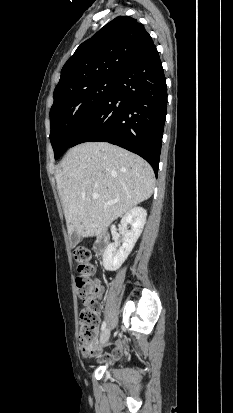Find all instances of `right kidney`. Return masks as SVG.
Instances as JSON below:
<instances>
[{"label": "right kidney", "mask_w": 233, "mask_h": 413, "mask_svg": "<svg viewBox=\"0 0 233 413\" xmlns=\"http://www.w3.org/2000/svg\"><path fill=\"white\" fill-rule=\"evenodd\" d=\"M147 212L142 207H134L129 210L121 219V229L123 231V244L116 252V245L110 243L103 254V266L108 271L118 270L128 255L131 253L139 236L142 233L146 222ZM131 229L128 230L127 226Z\"/></svg>", "instance_id": "1"}]
</instances>
